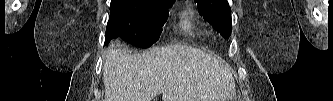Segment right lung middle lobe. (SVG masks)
I'll return each instance as SVG.
<instances>
[{"label": "right lung middle lobe", "mask_w": 333, "mask_h": 101, "mask_svg": "<svg viewBox=\"0 0 333 101\" xmlns=\"http://www.w3.org/2000/svg\"><path fill=\"white\" fill-rule=\"evenodd\" d=\"M175 0H112L105 44L120 37L148 48L160 37Z\"/></svg>", "instance_id": "right-lung-middle-lobe-1"}]
</instances>
